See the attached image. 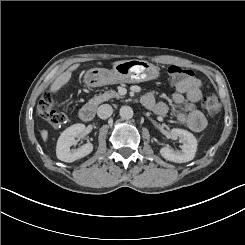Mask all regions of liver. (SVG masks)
Listing matches in <instances>:
<instances>
[{
  "instance_id": "1",
  "label": "liver",
  "mask_w": 245,
  "mask_h": 245,
  "mask_svg": "<svg viewBox=\"0 0 245 245\" xmlns=\"http://www.w3.org/2000/svg\"><path fill=\"white\" fill-rule=\"evenodd\" d=\"M128 60H119L111 63V65H116L118 63L126 62ZM81 66V63H74L71 66H69L66 71L62 72L60 75H58L55 80L50 84V86L47 89V92L49 94H57L61 89L66 87L69 83V80L71 78V73L76 71ZM49 132L46 129L40 130V137L43 143H47L48 141Z\"/></svg>"
}]
</instances>
